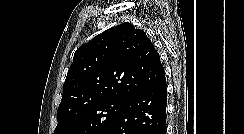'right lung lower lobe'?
Listing matches in <instances>:
<instances>
[{"instance_id":"right-lung-lower-lobe-1","label":"right lung lower lobe","mask_w":244,"mask_h":134,"mask_svg":"<svg viewBox=\"0 0 244 134\" xmlns=\"http://www.w3.org/2000/svg\"><path fill=\"white\" fill-rule=\"evenodd\" d=\"M167 84H157L131 95L103 134H166Z\"/></svg>"}]
</instances>
